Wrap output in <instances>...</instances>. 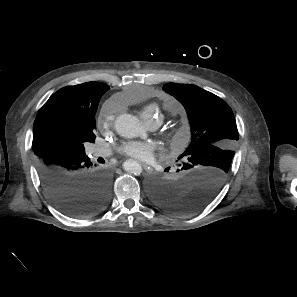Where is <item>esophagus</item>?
Listing matches in <instances>:
<instances>
[{
	"label": "esophagus",
	"instance_id": "34e87169",
	"mask_svg": "<svg viewBox=\"0 0 297 297\" xmlns=\"http://www.w3.org/2000/svg\"><path fill=\"white\" fill-rule=\"evenodd\" d=\"M141 165L143 166V168L145 169L146 172H152V168L149 165H147L145 163H141Z\"/></svg>",
	"mask_w": 297,
	"mask_h": 297
}]
</instances>
